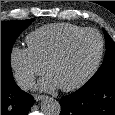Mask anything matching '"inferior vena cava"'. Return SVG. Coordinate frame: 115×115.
<instances>
[{
  "label": "inferior vena cava",
  "mask_w": 115,
  "mask_h": 115,
  "mask_svg": "<svg viewBox=\"0 0 115 115\" xmlns=\"http://www.w3.org/2000/svg\"><path fill=\"white\" fill-rule=\"evenodd\" d=\"M16 83L22 90H29L32 88L34 81L33 78L28 75H19L16 77Z\"/></svg>",
  "instance_id": "1"
}]
</instances>
